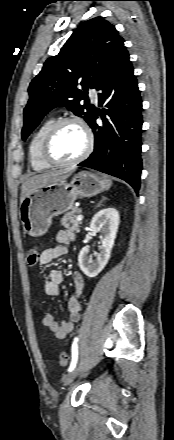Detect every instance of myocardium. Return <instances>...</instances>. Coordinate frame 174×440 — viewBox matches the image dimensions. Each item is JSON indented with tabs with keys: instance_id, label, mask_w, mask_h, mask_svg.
Segmentation results:
<instances>
[{
	"instance_id": "myocardium-1",
	"label": "myocardium",
	"mask_w": 174,
	"mask_h": 440,
	"mask_svg": "<svg viewBox=\"0 0 174 440\" xmlns=\"http://www.w3.org/2000/svg\"><path fill=\"white\" fill-rule=\"evenodd\" d=\"M67 123H76L82 128L86 137V144L81 154L76 158L69 161H58L51 154V144L59 128ZM93 146L94 136L88 124L82 118L72 115L58 119L49 128L43 140L41 154L43 160L52 167H67L78 164L86 159L90 155Z\"/></svg>"
}]
</instances>
